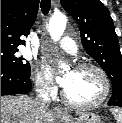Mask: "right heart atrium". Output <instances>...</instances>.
<instances>
[{
  "label": "right heart atrium",
  "mask_w": 122,
  "mask_h": 123,
  "mask_svg": "<svg viewBox=\"0 0 122 123\" xmlns=\"http://www.w3.org/2000/svg\"><path fill=\"white\" fill-rule=\"evenodd\" d=\"M35 87L37 92L44 97L51 96L55 91L52 84L40 73L35 76Z\"/></svg>",
  "instance_id": "right-heart-atrium-1"
}]
</instances>
